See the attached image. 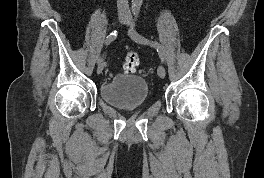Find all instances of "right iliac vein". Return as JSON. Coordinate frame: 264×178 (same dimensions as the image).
<instances>
[{"instance_id":"right-iliac-vein-1","label":"right iliac vein","mask_w":264,"mask_h":178,"mask_svg":"<svg viewBox=\"0 0 264 178\" xmlns=\"http://www.w3.org/2000/svg\"><path fill=\"white\" fill-rule=\"evenodd\" d=\"M126 18H127L126 14H124V13H119V14H118V20H119L120 22L125 21ZM104 66H105V63H104V62H102V63H100V64L98 65V68H97V73H98V74H100V73L103 71Z\"/></svg>"}]
</instances>
